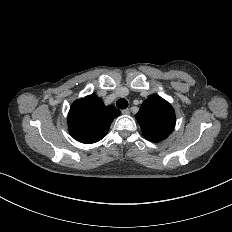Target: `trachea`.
<instances>
[{
  "label": "trachea",
  "instance_id": "trachea-1",
  "mask_svg": "<svg viewBox=\"0 0 232 232\" xmlns=\"http://www.w3.org/2000/svg\"><path fill=\"white\" fill-rule=\"evenodd\" d=\"M116 106L119 109H125L128 107V101L125 98H121V99L117 100Z\"/></svg>",
  "mask_w": 232,
  "mask_h": 232
}]
</instances>
